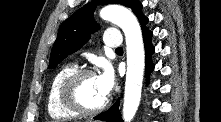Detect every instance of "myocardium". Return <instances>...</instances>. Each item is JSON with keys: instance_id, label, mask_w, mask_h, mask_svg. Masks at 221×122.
<instances>
[{"instance_id": "myocardium-1", "label": "myocardium", "mask_w": 221, "mask_h": 122, "mask_svg": "<svg viewBox=\"0 0 221 122\" xmlns=\"http://www.w3.org/2000/svg\"><path fill=\"white\" fill-rule=\"evenodd\" d=\"M88 76H96V74L91 69L77 68L65 77L59 88V97L63 106L80 115L98 114L109 104L108 98L99 106L93 108L86 107L80 102L77 96V86L83 78Z\"/></svg>"}]
</instances>
